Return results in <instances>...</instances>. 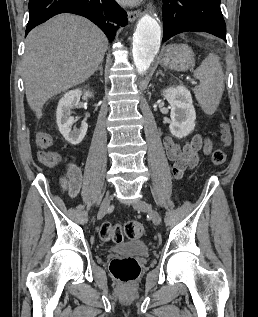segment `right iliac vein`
Segmentation results:
<instances>
[{
    "label": "right iliac vein",
    "instance_id": "obj_1",
    "mask_svg": "<svg viewBox=\"0 0 258 317\" xmlns=\"http://www.w3.org/2000/svg\"><path fill=\"white\" fill-rule=\"evenodd\" d=\"M110 200H111L110 194H107L104 197V200L101 201L99 210L96 213L97 218H99L100 220L104 218V216L107 213V210L110 208Z\"/></svg>",
    "mask_w": 258,
    "mask_h": 317
}]
</instances>
